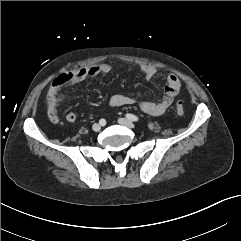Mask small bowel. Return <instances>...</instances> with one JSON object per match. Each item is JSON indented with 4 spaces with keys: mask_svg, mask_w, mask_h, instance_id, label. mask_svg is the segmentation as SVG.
<instances>
[{
    "mask_svg": "<svg viewBox=\"0 0 241 241\" xmlns=\"http://www.w3.org/2000/svg\"><path fill=\"white\" fill-rule=\"evenodd\" d=\"M112 66L107 63L96 64L86 67H81L77 70H74L72 73L75 75V80L70 84L83 81L88 78L97 77L100 75L108 74L111 72ZM141 73L147 80L152 79L157 70L154 66L144 65L140 69ZM61 88H56L54 85L49 89L47 95V113L48 118L53 124L59 123L58 117V107L61 101L64 98ZM181 88V82L179 78L174 74H169L166 77V85L163 91V95L159 101L151 102V101H140L137 102L134 98L126 95H113L110 98V105L112 107H120L125 105H134L138 104L139 108L146 114L151 116H159L163 114L168 107L172 104L174 97L177 95ZM66 121L69 123H74L77 119V116L74 112H68L65 115Z\"/></svg>",
    "mask_w": 241,
    "mask_h": 241,
    "instance_id": "obj_1",
    "label": "small bowel"
}]
</instances>
